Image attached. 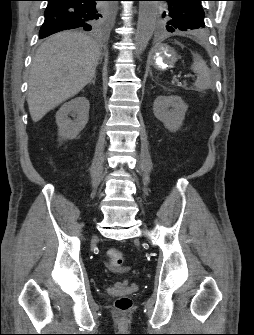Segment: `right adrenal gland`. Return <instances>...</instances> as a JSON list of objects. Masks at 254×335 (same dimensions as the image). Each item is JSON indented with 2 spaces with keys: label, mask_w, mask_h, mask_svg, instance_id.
<instances>
[{
  "label": "right adrenal gland",
  "mask_w": 254,
  "mask_h": 335,
  "mask_svg": "<svg viewBox=\"0 0 254 335\" xmlns=\"http://www.w3.org/2000/svg\"><path fill=\"white\" fill-rule=\"evenodd\" d=\"M96 75H94L93 79L91 80L90 84L95 85Z\"/></svg>",
  "instance_id": "2a0ac1e0"
}]
</instances>
